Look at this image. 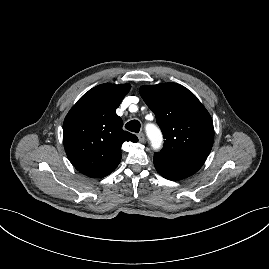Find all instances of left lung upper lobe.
Masks as SVG:
<instances>
[{
  "label": "left lung upper lobe",
  "mask_w": 269,
  "mask_h": 269,
  "mask_svg": "<svg viewBox=\"0 0 269 269\" xmlns=\"http://www.w3.org/2000/svg\"><path fill=\"white\" fill-rule=\"evenodd\" d=\"M140 95L164 136L163 157L205 162L213 145V121L197 97L176 83L147 85Z\"/></svg>",
  "instance_id": "5c2ea615"
}]
</instances>
